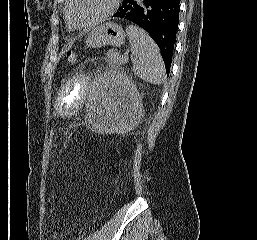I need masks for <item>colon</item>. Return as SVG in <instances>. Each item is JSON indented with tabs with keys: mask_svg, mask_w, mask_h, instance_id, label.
<instances>
[{
	"mask_svg": "<svg viewBox=\"0 0 257 240\" xmlns=\"http://www.w3.org/2000/svg\"><path fill=\"white\" fill-rule=\"evenodd\" d=\"M77 59H78V55H77V53L74 52V51H69V52L67 53V55H66V60H67V62H68L69 64H74V63H76ZM49 149H50V150L53 149V139H52V137H50V139H49Z\"/></svg>",
	"mask_w": 257,
	"mask_h": 240,
	"instance_id": "1",
	"label": "colon"
}]
</instances>
